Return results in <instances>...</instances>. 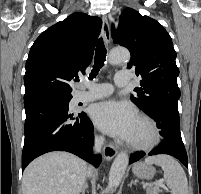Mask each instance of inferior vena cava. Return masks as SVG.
I'll return each mask as SVG.
<instances>
[{
  "mask_svg": "<svg viewBox=\"0 0 201 194\" xmlns=\"http://www.w3.org/2000/svg\"><path fill=\"white\" fill-rule=\"evenodd\" d=\"M104 143V138L99 137L95 139L93 150L95 153L101 152L102 145ZM88 175H91V168H89Z\"/></svg>",
  "mask_w": 201,
  "mask_h": 194,
  "instance_id": "602c4592",
  "label": "inferior vena cava"
}]
</instances>
